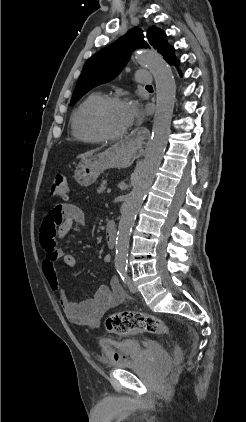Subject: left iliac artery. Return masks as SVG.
Returning <instances> with one entry per match:
<instances>
[{
    "label": "left iliac artery",
    "mask_w": 246,
    "mask_h": 422,
    "mask_svg": "<svg viewBox=\"0 0 246 422\" xmlns=\"http://www.w3.org/2000/svg\"><path fill=\"white\" fill-rule=\"evenodd\" d=\"M121 279L123 280V282L126 281L127 278V270L121 269L120 271H118Z\"/></svg>",
    "instance_id": "left-iliac-artery-1"
}]
</instances>
